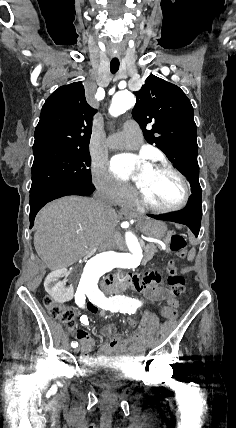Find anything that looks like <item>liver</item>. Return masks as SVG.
Listing matches in <instances>:
<instances>
[{
  "instance_id": "6515ba94",
  "label": "liver",
  "mask_w": 236,
  "mask_h": 428,
  "mask_svg": "<svg viewBox=\"0 0 236 428\" xmlns=\"http://www.w3.org/2000/svg\"><path fill=\"white\" fill-rule=\"evenodd\" d=\"M118 216L99 202L66 196L44 206L36 216L34 246L47 268H67L96 248L115 246Z\"/></svg>"
}]
</instances>
